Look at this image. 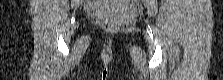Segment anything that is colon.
Masks as SVG:
<instances>
[{
  "mask_svg": "<svg viewBox=\"0 0 223 80\" xmlns=\"http://www.w3.org/2000/svg\"><path fill=\"white\" fill-rule=\"evenodd\" d=\"M103 26L107 30H113L115 28L114 24L108 22L103 23Z\"/></svg>",
  "mask_w": 223,
  "mask_h": 80,
  "instance_id": "1",
  "label": "colon"
}]
</instances>
